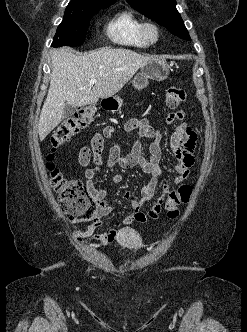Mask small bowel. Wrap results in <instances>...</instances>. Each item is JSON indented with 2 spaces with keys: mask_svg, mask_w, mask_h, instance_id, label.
<instances>
[{
  "mask_svg": "<svg viewBox=\"0 0 247 332\" xmlns=\"http://www.w3.org/2000/svg\"><path fill=\"white\" fill-rule=\"evenodd\" d=\"M185 113L177 111L170 113L167 116L169 122L175 120H183ZM125 131L136 132L137 140L128 151H124L118 144L111 143L107 158L105 159L104 137L96 134L91 142V147H84L79 154V161L82 166H87L90 162L94 164L93 167H87L84 176L87 190L96 204V214L92 225L85 229H75V237L84 242H94L98 246L107 245L113 242L119 235L117 226L111 227L106 232L96 233L97 227L101 225V220L107 217L112 212V206L105 200L106 190L97 188L95 185V174L101 167H114L116 165L122 168L140 167L143 172L148 175V181L141 189V198L133 199L131 201V212L122 219L123 225H129L134 221H145L147 219L157 220L162 212L163 205L171 189L168 185H164L161 189L160 195L155 199L152 207L147 211H142L143 203L154 198L162 174L160 166L162 150H161V133L154 129L146 118L130 119L125 123ZM114 132L113 128H107L104 131V136L109 138ZM141 139H148L149 158H145L142 153ZM197 133L187 126L186 123L179 124L173 133L170 145L173 154L177 160L174 167L176 176L173 183L176 186H181L187 179L189 170L194 163V151L197 146ZM121 175L116 174L110 177L112 182H120ZM125 199L130 198L129 192H124Z\"/></svg>",
  "mask_w": 247,
  "mask_h": 332,
  "instance_id": "1",
  "label": "small bowel"
}]
</instances>
